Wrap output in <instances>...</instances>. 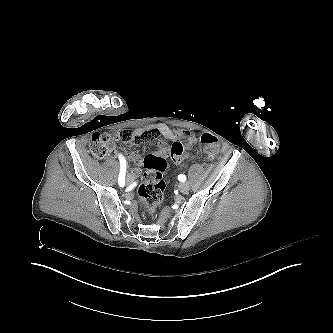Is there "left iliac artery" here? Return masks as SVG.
<instances>
[{
	"label": "left iliac artery",
	"instance_id": "1",
	"mask_svg": "<svg viewBox=\"0 0 333 333\" xmlns=\"http://www.w3.org/2000/svg\"><path fill=\"white\" fill-rule=\"evenodd\" d=\"M178 180L181 181V182H184V181L186 180V176L183 175V174H180V175L178 176Z\"/></svg>",
	"mask_w": 333,
	"mask_h": 333
}]
</instances>
